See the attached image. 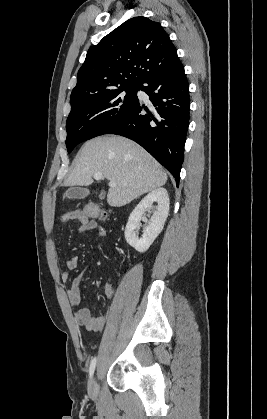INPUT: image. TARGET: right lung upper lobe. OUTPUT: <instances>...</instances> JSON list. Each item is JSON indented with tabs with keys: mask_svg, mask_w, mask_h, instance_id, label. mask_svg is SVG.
Segmentation results:
<instances>
[{
	"mask_svg": "<svg viewBox=\"0 0 267 419\" xmlns=\"http://www.w3.org/2000/svg\"><path fill=\"white\" fill-rule=\"evenodd\" d=\"M178 61L175 46L158 22L131 18L89 48L71 104L94 94L138 87L151 73Z\"/></svg>",
	"mask_w": 267,
	"mask_h": 419,
	"instance_id": "obj_1",
	"label": "right lung upper lobe"
}]
</instances>
